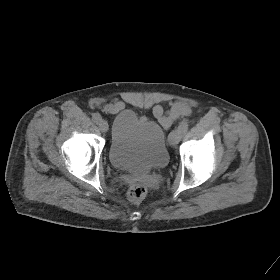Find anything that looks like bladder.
<instances>
[{
	"mask_svg": "<svg viewBox=\"0 0 280 280\" xmlns=\"http://www.w3.org/2000/svg\"><path fill=\"white\" fill-rule=\"evenodd\" d=\"M108 156L119 170L145 173L164 168L169 162L166 132L158 122L122 110L113 120Z\"/></svg>",
	"mask_w": 280,
	"mask_h": 280,
	"instance_id": "31cf9c89",
	"label": "bladder"
}]
</instances>
